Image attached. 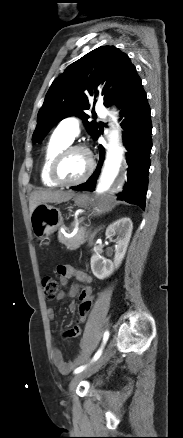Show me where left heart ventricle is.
Wrapping results in <instances>:
<instances>
[{"label": "left heart ventricle", "instance_id": "b2bd125f", "mask_svg": "<svg viewBox=\"0 0 183 438\" xmlns=\"http://www.w3.org/2000/svg\"><path fill=\"white\" fill-rule=\"evenodd\" d=\"M87 166V157L83 152H72L61 162L58 174L63 181L72 182L84 175Z\"/></svg>", "mask_w": 183, "mask_h": 438}]
</instances>
